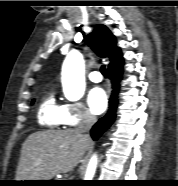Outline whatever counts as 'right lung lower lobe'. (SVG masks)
<instances>
[{
	"label": "right lung lower lobe",
	"mask_w": 178,
	"mask_h": 186,
	"mask_svg": "<svg viewBox=\"0 0 178 186\" xmlns=\"http://www.w3.org/2000/svg\"><path fill=\"white\" fill-rule=\"evenodd\" d=\"M122 66L108 68L107 75L112 83V94L109 99V110L107 114L101 118L91 129V135L94 140H97L103 132H105L110 125L114 122L116 117V109L118 105V90H119V82L122 78Z\"/></svg>",
	"instance_id": "98d812e1"
}]
</instances>
